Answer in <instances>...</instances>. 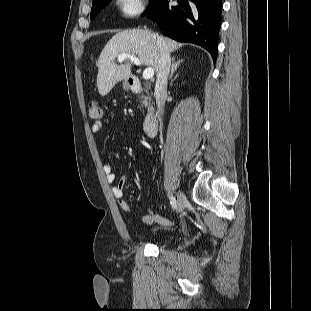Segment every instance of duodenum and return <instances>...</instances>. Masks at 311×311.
<instances>
[{
	"instance_id": "duodenum-1",
	"label": "duodenum",
	"mask_w": 311,
	"mask_h": 311,
	"mask_svg": "<svg viewBox=\"0 0 311 311\" xmlns=\"http://www.w3.org/2000/svg\"><path fill=\"white\" fill-rule=\"evenodd\" d=\"M131 89L134 92H139L141 90V84L137 78L131 77L128 80ZM158 126V116L157 113L150 109L145 117L143 130L146 136L152 137L155 135Z\"/></svg>"
}]
</instances>
